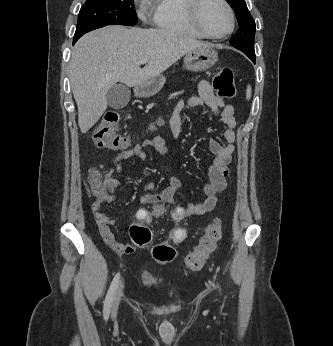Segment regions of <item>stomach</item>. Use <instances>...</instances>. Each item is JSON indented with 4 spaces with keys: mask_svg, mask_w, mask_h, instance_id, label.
<instances>
[{
    "mask_svg": "<svg viewBox=\"0 0 333 346\" xmlns=\"http://www.w3.org/2000/svg\"><path fill=\"white\" fill-rule=\"evenodd\" d=\"M217 60L218 54L212 47H202L185 55L184 66L189 71L200 72L211 68ZM164 84L165 77L157 75L136 86L134 92L139 98H148L158 93Z\"/></svg>",
    "mask_w": 333,
    "mask_h": 346,
    "instance_id": "obj_1",
    "label": "stomach"
}]
</instances>
